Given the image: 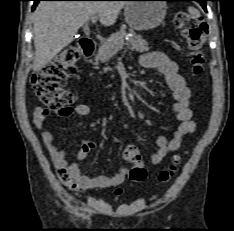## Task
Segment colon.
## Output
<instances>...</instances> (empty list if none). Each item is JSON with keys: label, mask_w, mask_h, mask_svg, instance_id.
Listing matches in <instances>:
<instances>
[{"label": "colon", "mask_w": 234, "mask_h": 231, "mask_svg": "<svg viewBox=\"0 0 234 231\" xmlns=\"http://www.w3.org/2000/svg\"><path fill=\"white\" fill-rule=\"evenodd\" d=\"M174 23L186 41L190 62L195 73H201L204 65L203 47L207 35V24L193 15L180 12L174 17ZM78 52L74 47L63 49L51 62L34 73L31 82L40 100L53 110L69 109L75 101L74 94L62 87L61 82L77 73ZM123 158L131 163L129 177L132 181H143L147 171L141 162V156L135 145H127ZM180 157L174 158L173 164L159 174L161 182L169 181L177 172Z\"/></svg>", "instance_id": "obj_1"}]
</instances>
